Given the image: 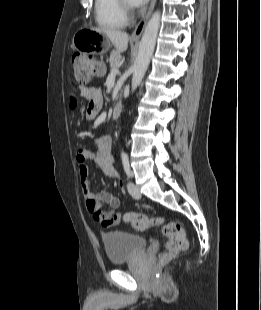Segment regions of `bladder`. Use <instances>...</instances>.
Segmentation results:
<instances>
[{
    "label": "bladder",
    "mask_w": 261,
    "mask_h": 310,
    "mask_svg": "<svg viewBox=\"0 0 261 310\" xmlns=\"http://www.w3.org/2000/svg\"><path fill=\"white\" fill-rule=\"evenodd\" d=\"M109 261L118 265L134 259L147 246L145 237L124 231H112L103 237Z\"/></svg>",
    "instance_id": "31cf9c89"
}]
</instances>
